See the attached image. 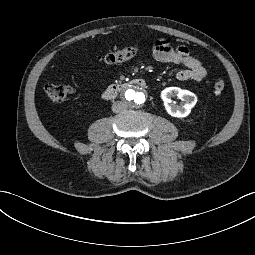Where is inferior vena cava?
Returning <instances> with one entry per match:
<instances>
[{"label": "inferior vena cava", "instance_id": "obj_1", "mask_svg": "<svg viewBox=\"0 0 255 255\" xmlns=\"http://www.w3.org/2000/svg\"><path fill=\"white\" fill-rule=\"evenodd\" d=\"M127 108H128V104L127 102H124V101H116L112 105V111L114 113L122 112L126 110Z\"/></svg>", "mask_w": 255, "mask_h": 255}]
</instances>
